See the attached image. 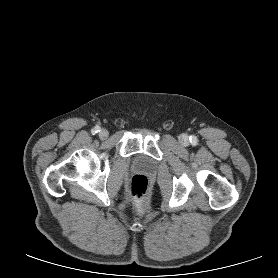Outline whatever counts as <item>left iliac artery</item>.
<instances>
[{
    "mask_svg": "<svg viewBox=\"0 0 278 278\" xmlns=\"http://www.w3.org/2000/svg\"><path fill=\"white\" fill-rule=\"evenodd\" d=\"M190 142L191 143H195L196 142V138L194 136L190 137Z\"/></svg>",
    "mask_w": 278,
    "mask_h": 278,
    "instance_id": "1",
    "label": "left iliac artery"
}]
</instances>
